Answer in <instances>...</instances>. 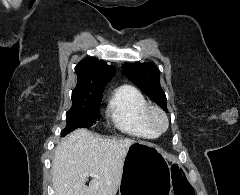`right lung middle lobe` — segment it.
<instances>
[{"instance_id": "dd1d6c3e", "label": "right lung middle lobe", "mask_w": 240, "mask_h": 195, "mask_svg": "<svg viewBox=\"0 0 240 195\" xmlns=\"http://www.w3.org/2000/svg\"><path fill=\"white\" fill-rule=\"evenodd\" d=\"M102 98L72 99V107L66 113L67 125L63 131L66 135L76 128H89L100 120V103Z\"/></svg>"}]
</instances>
